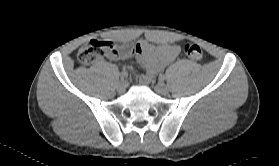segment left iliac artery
Returning <instances> with one entry per match:
<instances>
[{"instance_id":"obj_1","label":"left iliac artery","mask_w":279,"mask_h":166,"mask_svg":"<svg viewBox=\"0 0 279 166\" xmlns=\"http://www.w3.org/2000/svg\"><path fill=\"white\" fill-rule=\"evenodd\" d=\"M160 80H161V81L166 80V76H165V75H160Z\"/></svg>"}]
</instances>
